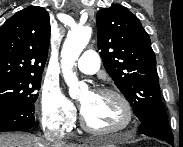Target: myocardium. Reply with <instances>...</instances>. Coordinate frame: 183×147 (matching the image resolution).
Listing matches in <instances>:
<instances>
[{
	"instance_id": "1",
	"label": "myocardium",
	"mask_w": 183,
	"mask_h": 147,
	"mask_svg": "<svg viewBox=\"0 0 183 147\" xmlns=\"http://www.w3.org/2000/svg\"><path fill=\"white\" fill-rule=\"evenodd\" d=\"M94 93L99 95H110L117 98L124 107L126 113V120L124 125H122L121 127L101 130L92 127L86 120L83 112L81 111L80 122L84 130L95 135H112L128 131L134 126L135 122L134 110L130 101L123 93L112 88H98L94 91Z\"/></svg>"
}]
</instances>
